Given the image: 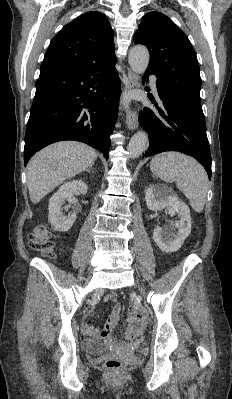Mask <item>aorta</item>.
<instances>
[{
  "label": "aorta",
  "mask_w": 232,
  "mask_h": 399,
  "mask_svg": "<svg viewBox=\"0 0 232 399\" xmlns=\"http://www.w3.org/2000/svg\"><path fill=\"white\" fill-rule=\"evenodd\" d=\"M149 51L142 45L134 46L129 51L128 61L131 69L142 74L146 71L149 64ZM149 140L146 132L139 131L131 138L127 150L132 158H138L148 146Z\"/></svg>",
  "instance_id": "1"
}]
</instances>
